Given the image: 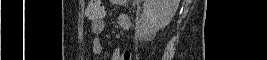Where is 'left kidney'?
<instances>
[{
	"mask_svg": "<svg viewBox=\"0 0 267 60\" xmlns=\"http://www.w3.org/2000/svg\"><path fill=\"white\" fill-rule=\"evenodd\" d=\"M178 5L179 0H148L143 5L142 19L157 31L170 23Z\"/></svg>",
	"mask_w": 267,
	"mask_h": 60,
	"instance_id": "1",
	"label": "left kidney"
}]
</instances>
